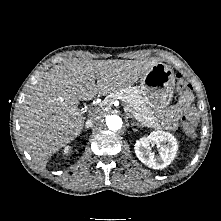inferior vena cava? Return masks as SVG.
<instances>
[{
	"label": "inferior vena cava",
	"instance_id": "602c4592",
	"mask_svg": "<svg viewBox=\"0 0 221 221\" xmlns=\"http://www.w3.org/2000/svg\"><path fill=\"white\" fill-rule=\"evenodd\" d=\"M99 120H100L99 116H93V117H91L90 119H88L86 121V125L87 126H92L96 121H99Z\"/></svg>",
	"mask_w": 221,
	"mask_h": 221
}]
</instances>
